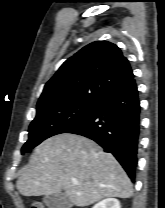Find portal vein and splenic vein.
<instances>
[{"instance_id": "1", "label": "portal vein and splenic vein", "mask_w": 165, "mask_h": 208, "mask_svg": "<svg viewBox=\"0 0 165 208\" xmlns=\"http://www.w3.org/2000/svg\"><path fill=\"white\" fill-rule=\"evenodd\" d=\"M72 183H73L74 185H76V184H78V181L74 180V181H72Z\"/></svg>"}]
</instances>
